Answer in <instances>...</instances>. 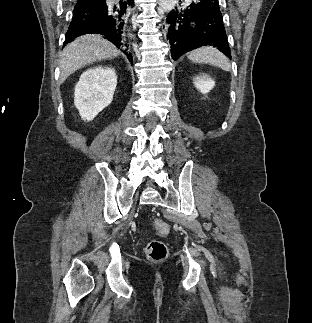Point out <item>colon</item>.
Instances as JSON below:
<instances>
[{
  "label": "colon",
  "mask_w": 312,
  "mask_h": 323,
  "mask_svg": "<svg viewBox=\"0 0 312 323\" xmlns=\"http://www.w3.org/2000/svg\"><path fill=\"white\" fill-rule=\"evenodd\" d=\"M154 226L158 233H166L168 231V226L162 219H157ZM146 254L152 261H162L167 256V247L160 241H151L146 246Z\"/></svg>",
  "instance_id": "1"
}]
</instances>
